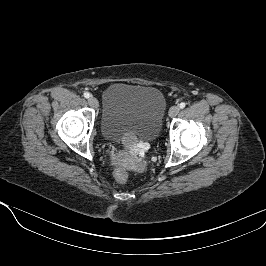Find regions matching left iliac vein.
<instances>
[{"mask_svg":"<svg viewBox=\"0 0 266 266\" xmlns=\"http://www.w3.org/2000/svg\"><path fill=\"white\" fill-rule=\"evenodd\" d=\"M180 111V108L178 106H172L169 110V116L175 117Z\"/></svg>","mask_w":266,"mask_h":266,"instance_id":"left-iliac-vein-1","label":"left iliac vein"}]
</instances>
